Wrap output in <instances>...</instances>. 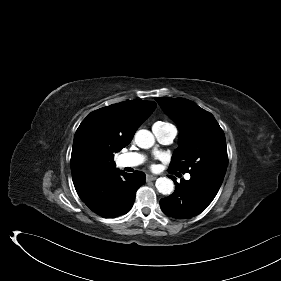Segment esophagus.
Here are the masks:
<instances>
[{
    "label": "esophagus",
    "instance_id": "esophagus-1",
    "mask_svg": "<svg viewBox=\"0 0 281 281\" xmlns=\"http://www.w3.org/2000/svg\"><path fill=\"white\" fill-rule=\"evenodd\" d=\"M157 179V177L156 176H153V175H147L146 176V180L147 181H154V180H156Z\"/></svg>",
    "mask_w": 281,
    "mask_h": 281
}]
</instances>
